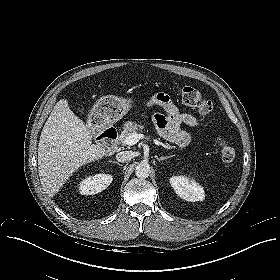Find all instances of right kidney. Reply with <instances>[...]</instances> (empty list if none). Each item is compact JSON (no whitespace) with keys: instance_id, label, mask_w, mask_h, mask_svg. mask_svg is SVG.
Here are the masks:
<instances>
[{"instance_id":"ca27d5eb","label":"right kidney","mask_w":280,"mask_h":280,"mask_svg":"<svg viewBox=\"0 0 280 280\" xmlns=\"http://www.w3.org/2000/svg\"><path fill=\"white\" fill-rule=\"evenodd\" d=\"M110 174H96L82 180L79 184L81 195H94L105 190L112 182Z\"/></svg>"}]
</instances>
